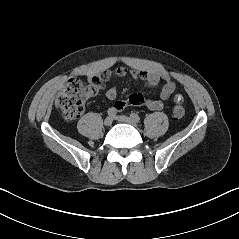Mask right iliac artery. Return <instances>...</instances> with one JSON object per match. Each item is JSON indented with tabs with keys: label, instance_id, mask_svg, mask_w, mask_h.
<instances>
[{
	"label": "right iliac artery",
	"instance_id": "82829eb1",
	"mask_svg": "<svg viewBox=\"0 0 239 239\" xmlns=\"http://www.w3.org/2000/svg\"><path fill=\"white\" fill-rule=\"evenodd\" d=\"M108 116L114 117L117 114V110L114 108H109L107 111Z\"/></svg>",
	"mask_w": 239,
	"mask_h": 239
}]
</instances>
